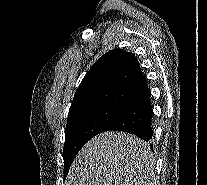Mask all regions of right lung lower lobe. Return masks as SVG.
<instances>
[{
	"instance_id": "1",
	"label": "right lung lower lobe",
	"mask_w": 207,
	"mask_h": 185,
	"mask_svg": "<svg viewBox=\"0 0 207 185\" xmlns=\"http://www.w3.org/2000/svg\"><path fill=\"white\" fill-rule=\"evenodd\" d=\"M152 113L151 93L148 89L123 109L105 131H125L148 142L153 138Z\"/></svg>"
}]
</instances>
